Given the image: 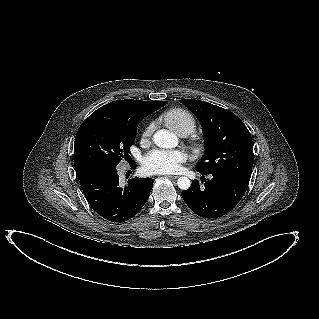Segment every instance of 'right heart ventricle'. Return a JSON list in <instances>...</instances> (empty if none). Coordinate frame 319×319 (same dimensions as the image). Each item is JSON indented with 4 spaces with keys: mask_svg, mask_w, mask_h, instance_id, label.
<instances>
[{
    "mask_svg": "<svg viewBox=\"0 0 319 319\" xmlns=\"http://www.w3.org/2000/svg\"><path fill=\"white\" fill-rule=\"evenodd\" d=\"M165 124L179 135H189L196 129V120L193 115L185 109L173 108L163 116Z\"/></svg>",
    "mask_w": 319,
    "mask_h": 319,
    "instance_id": "1",
    "label": "right heart ventricle"
}]
</instances>
